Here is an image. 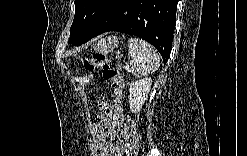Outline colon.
<instances>
[{
    "instance_id": "obj_1",
    "label": "colon",
    "mask_w": 247,
    "mask_h": 156,
    "mask_svg": "<svg viewBox=\"0 0 247 156\" xmlns=\"http://www.w3.org/2000/svg\"><path fill=\"white\" fill-rule=\"evenodd\" d=\"M82 63L87 71L101 70L104 80L109 82L113 91H118L123 88L122 76L115 67L110 65L104 54L98 53L90 57H84ZM126 124L128 132L132 137V143L126 155L133 156L136 155L139 145L138 131L135 122L131 118L127 119Z\"/></svg>"
}]
</instances>
